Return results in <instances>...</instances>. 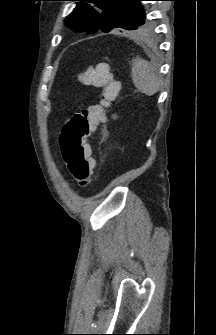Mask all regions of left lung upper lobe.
Listing matches in <instances>:
<instances>
[{
    "label": "left lung upper lobe",
    "mask_w": 216,
    "mask_h": 335,
    "mask_svg": "<svg viewBox=\"0 0 216 335\" xmlns=\"http://www.w3.org/2000/svg\"><path fill=\"white\" fill-rule=\"evenodd\" d=\"M79 1L65 24L76 32L89 34L113 29L148 30L152 24L140 4L145 0H75Z\"/></svg>",
    "instance_id": "1"
}]
</instances>
